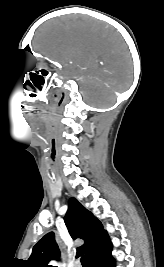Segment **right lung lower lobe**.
<instances>
[{
    "label": "right lung lower lobe",
    "instance_id": "98d812e1",
    "mask_svg": "<svg viewBox=\"0 0 164 267\" xmlns=\"http://www.w3.org/2000/svg\"><path fill=\"white\" fill-rule=\"evenodd\" d=\"M111 249L99 254L89 261V267H115V260L111 256Z\"/></svg>",
    "mask_w": 164,
    "mask_h": 267
}]
</instances>
